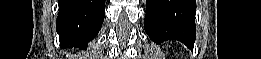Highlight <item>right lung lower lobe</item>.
I'll return each mask as SVG.
<instances>
[{
	"instance_id": "right-lung-lower-lobe-1",
	"label": "right lung lower lobe",
	"mask_w": 261,
	"mask_h": 59,
	"mask_svg": "<svg viewBox=\"0 0 261 59\" xmlns=\"http://www.w3.org/2000/svg\"><path fill=\"white\" fill-rule=\"evenodd\" d=\"M105 0H59L57 32L61 47L86 49L101 29Z\"/></svg>"
}]
</instances>
